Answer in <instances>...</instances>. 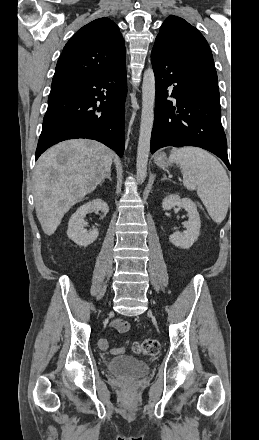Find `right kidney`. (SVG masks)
Segmentation results:
<instances>
[{
    "instance_id": "obj_1",
    "label": "right kidney",
    "mask_w": 259,
    "mask_h": 440,
    "mask_svg": "<svg viewBox=\"0 0 259 440\" xmlns=\"http://www.w3.org/2000/svg\"><path fill=\"white\" fill-rule=\"evenodd\" d=\"M93 210H100L103 213V219L109 212L107 203L101 199L90 201L77 209L68 223L67 235L74 243L79 246L87 247L98 237L99 231L93 227L90 231L84 229L86 225L84 217Z\"/></svg>"
}]
</instances>
